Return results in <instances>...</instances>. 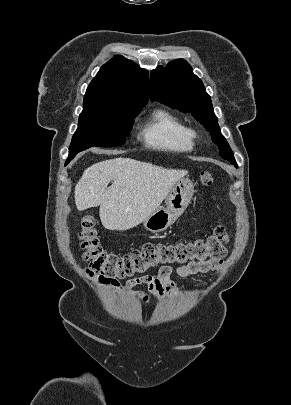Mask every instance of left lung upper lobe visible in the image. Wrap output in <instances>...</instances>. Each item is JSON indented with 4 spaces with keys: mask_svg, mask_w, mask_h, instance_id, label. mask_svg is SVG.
I'll return each instance as SVG.
<instances>
[{
    "mask_svg": "<svg viewBox=\"0 0 291 405\" xmlns=\"http://www.w3.org/2000/svg\"><path fill=\"white\" fill-rule=\"evenodd\" d=\"M151 99L191 113L210 132L213 142L219 147L220 156L237 165L229 144L221 134L210 96L186 61L177 59L165 68L159 66L151 71Z\"/></svg>",
    "mask_w": 291,
    "mask_h": 405,
    "instance_id": "left-lung-upper-lobe-1",
    "label": "left lung upper lobe"
}]
</instances>
